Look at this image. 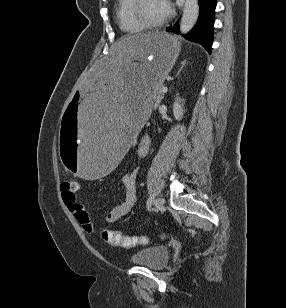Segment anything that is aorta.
Segmentation results:
<instances>
[{
  "mask_svg": "<svg viewBox=\"0 0 286 308\" xmlns=\"http://www.w3.org/2000/svg\"><path fill=\"white\" fill-rule=\"evenodd\" d=\"M198 16V0H185L183 14L179 25L180 32L182 34L188 33L197 22Z\"/></svg>",
  "mask_w": 286,
  "mask_h": 308,
  "instance_id": "obj_1",
  "label": "aorta"
}]
</instances>
